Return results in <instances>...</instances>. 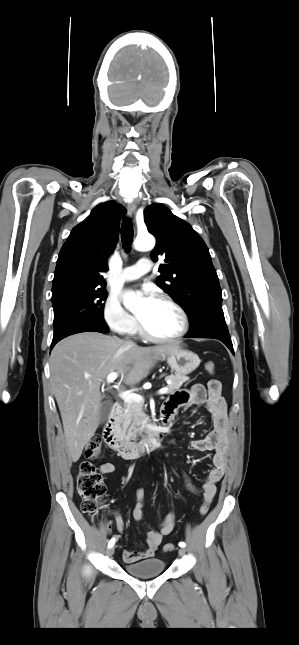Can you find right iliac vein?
Here are the masks:
<instances>
[{"instance_id":"right-iliac-vein-1","label":"right iliac vein","mask_w":299,"mask_h":645,"mask_svg":"<svg viewBox=\"0 0 299 645\" xmlns=\"http://www.w3.org/2000/svg\"><path fill=\"white\" fill-rule=\"evenodd\" d=\"M108 557H111L114 554V547H110L106 552Z\"/></svg>"}]
</instances>
